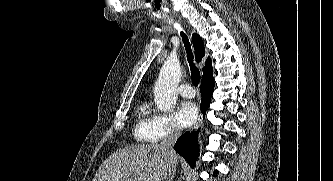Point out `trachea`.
<instances>
[{
    "mask_svg": "<svg viewBox=\"0 0 333 181\" xmlns=\"http://www.w3.org/2000/svg\"><path fill=\"white\" fill-rule=\"evenodd\" d=\"M180 34L182 36V40H183L185 50H186V53H187V58H188V61H189V64H190L192 83L195 86H198V84L200 82V71L195 66V64L193 62V53H192V50H191L190 42H189L188 37L186 36V34L184 32H181Z\"/></svg>",
    "mask_w": 333,
    "mask_h": 181,
    "instance_id": "trachea-1",
    "label": "trachea"
}]
</instances>
